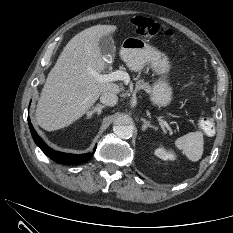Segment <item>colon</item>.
I'll use <instances>...</instances> for the list:
<instances>
[{
  "label": "colon",
  "instance_id": "1",
  "mask_svg": "<svg viewBox=\"0 0 233 233\" xmlns=\"http://www.w3.org/2000/svg\"><path fill=\"white\" fill-rule=\"evenodd\" d=\"M132 25L135 33L143 37H153L161 33L171 35L170 30H165L155 20L142 16L132 19ZM198 128L206 135H213L215 132L214 120L210 116H202L198 120Z\"/></svg>",
  "mask_w": 233,
  "mask_h": 233
}]
</instances>
